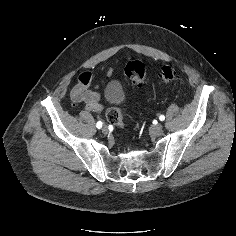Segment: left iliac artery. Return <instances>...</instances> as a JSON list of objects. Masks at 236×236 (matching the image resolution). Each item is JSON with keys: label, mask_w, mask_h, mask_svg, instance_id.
<instances>
[{"label": "left iliac artery", "mask_w": 236, "mask_h": 236, "mask_svg": "<svg viewBox=\"0 0 236 236\" xmlns=\"http://www.w3.org/2000/svg\"><path fill=\"white\" fill-rule=\"evenodd\" d=\"M159 119H160L161 121H164V120H165V116H164V115H160V116H159Z\"/></svg>", "instance_id": "44dca946"}]
</instances>
